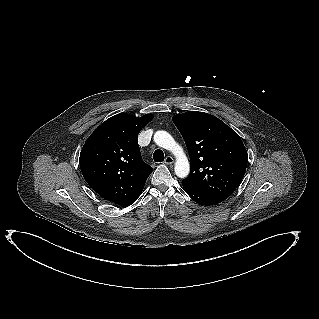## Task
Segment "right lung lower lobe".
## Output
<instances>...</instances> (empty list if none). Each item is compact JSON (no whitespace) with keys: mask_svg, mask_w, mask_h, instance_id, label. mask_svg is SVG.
<instances>
[{"mask_svg":"<svg viewBox=\"0 0 319 319\" xmlns=\"http://www.w3.org/2000/svg\"><path fill=\"white\" fill-rule=\"evenodd\" d=\"M140 194H141V193H140ZM140 194H139V195H140ZM139 195H137L136 197H134V198H132V199L126 201V202L123 203L121 206H122V207H127V206L131 205L132 203H134V202L136 201V199L139 197Z\"/></svg>","mask_w":319,"mask_h":319,"instance_id":"98d812e1","label":"right lung lower lobe"}]
</instances>
